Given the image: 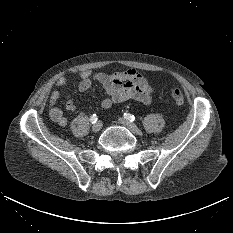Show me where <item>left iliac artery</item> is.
Masks as SVG:
<instances>
[{"label":"left iliac artery","instance_id":"44dca946","mask_svg":"<svg viewBox=\"0 0 233 233\" xmlns=\"http://www.w3.org/2000/svg\"><path fill=\"white\" fill-rule=\"evenodd\" d=\"M124 118H126L127 120L131 122L135 120L134 115H131L130 113H124Z\"/></svg>","mask_w":233,"mask_h":233}]
</instances>
